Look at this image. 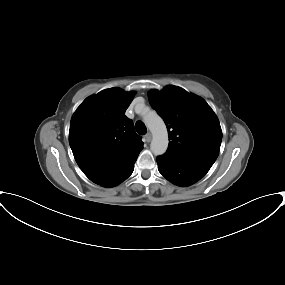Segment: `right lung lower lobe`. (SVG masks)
I'll return each instance as SVG.
<instances>
[{"label": "right lung lower lobe", "mask_w": 285, "mask_h": 285, "mask_svg": "<svg viewBox=\"0 0 285 285\" xmlns=\"http://www.w3.org/2000/svg\"><path fill=\"white\" fill-rule=\"evenodd\" d=\"M136 159L133 160L130 164H128L124 169H122L116 176L111 178L109 181L103 183L102 186L103 187H113V186L120 184L124 180H126L132 174L134 170V163Z\"/></svg>", "instance_id": "1"}]
</instances>
